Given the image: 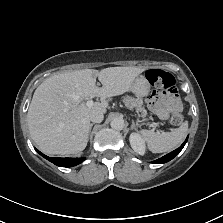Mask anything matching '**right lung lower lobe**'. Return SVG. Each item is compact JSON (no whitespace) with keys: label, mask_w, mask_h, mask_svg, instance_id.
<instances>
[{"label":"right lung lower lobe","mask_w":223,"mask_h":223,"mask_svg":"<svg viewBox=\"0 0 223 223\" xmlns=\"http://www.w3.org/2000/svg\"><path fill=\"white\" fill-rule=\"evenodd\" d=\"M36 151L40 155H42L44 158H46L47 160L52 162L53 164H55L57 166H61V167H73V166H76V165L82 163V161L85 160V158H80V159H77V158H53V157H48V156L44 155L37 149H36Z\"/></svg>","instance_id":"obj_1"}]
</instances>
